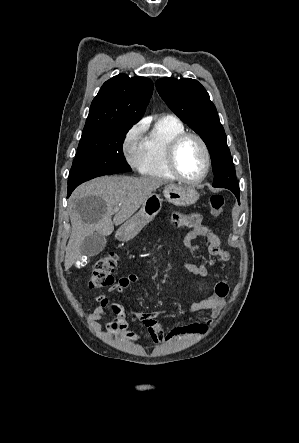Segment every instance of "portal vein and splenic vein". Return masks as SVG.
<instances>
[{
  "instance_id": "obj_1",
  "label": "portal vein and splenic vein",
  "mask_w": 299,
  "mask_h": 443,
  "mask_svg": "<svg viewBox=\"0 0 299 443\" xmlns=\"http://www.w3.org/2000/svg\"><path fill=\"white\" fill-rule=\"evenodd\" d=\"M117 211H118V208H116V209L113 210V212H117Z\"/></svg>"
}]
</instances>
